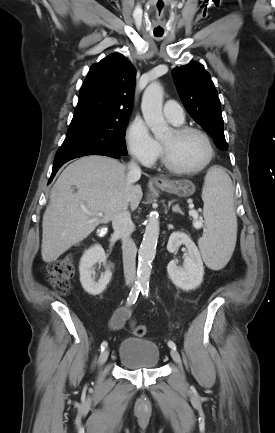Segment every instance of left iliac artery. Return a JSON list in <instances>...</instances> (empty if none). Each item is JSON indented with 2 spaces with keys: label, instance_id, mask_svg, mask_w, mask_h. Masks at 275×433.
Here are the masks:
<instances>
[{
  "label": "left iliac artery",
  "instance_id": "1",
  "mask_svg": "<svg viewBox=\"0 0 275 433\" xmlns=\"http://www.w3.org/2000/svg\"><path fill=\"white\" fill-rule=\"evenodd\" d=\"M141 292H142L143 295L148 296V293H149V285H148V284H147V285H146V284L142 285V287H141ZM168 346H169L170 348L176 350V345H175V343H174L173 341H169V342H168Z\"/></svg>",
  "mask_w": 275,
  "mask_h": 433
}]
</instances>
